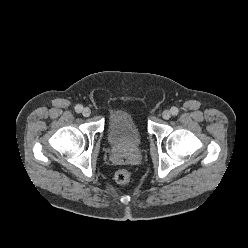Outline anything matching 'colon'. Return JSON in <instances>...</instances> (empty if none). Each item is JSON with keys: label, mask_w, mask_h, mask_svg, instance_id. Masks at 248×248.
Returning a JSON list of instances; mask_svg holds the SVG:
<instances>
[{"label": "colon", "mask_w": 248, "mask_h": 248, "mask_svg": "<svg viewBox=\"0 0 248 248\" xmlns=\"http://www.w3.org/2000/svg\"><path fill=\"white\" fill-rule=\"evenodd\" d=\"M115 180L119 184H127L132 180V174L126 169L118 170L115 174Z\"/></svg>", "instance_id": "colon-1"}]
</instances>
